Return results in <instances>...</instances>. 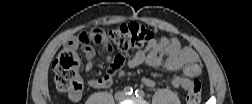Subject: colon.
Here are the masks:
<instances>
[{"label":"colon","instance_id":"colon-1","mask_svg":"<svg viewBox=\"0 0 252 104\" xmlns=\"http://www.w3.org/2000/svg\"><path fill=\"white\" fill-rule=\"evenodd\" d=\"M153 38L152 32L140 23L124 24L108 31L94 28L82 31L72 38L60 51L53 62L55 84L59 91L77 96L83 87L82 62L84 58L92 57L94 45H99L104 51L117 48L128 52L142 47ZM123 58L118 56L109 70L113 75L121 65ZM186 100L190 104H197L201 100V83L193 79L188 88Z\"/></svg>","mask_w":252,"mask_h":104}]
</instances>
